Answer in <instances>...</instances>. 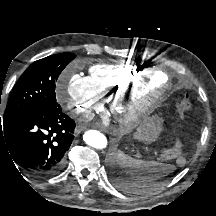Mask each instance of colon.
Here are the masks:
<instances>
[{
    "mask_svg": "<svg viewBox=\"0 0 216 216\" xmlns=\"http://www.w3.org/2000/svg\"><path fill=\"white\" fill-rule=\"evenodd\" d=\"M177 111L181 119L191 110V100L187 93L182 94L176 101ZM165 159H177L180 160L182 157V143L179 138L175 140L173 146L163 151L162 154Z\"/></svg>",
    "mask_w": 216,
    "mask_h": 216,
    "instance_id": "1",
    "label": "colon"
}]
</instances>
